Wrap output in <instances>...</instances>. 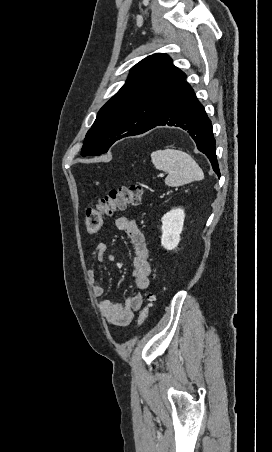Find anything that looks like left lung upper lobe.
Masks as SVG:
<instances>
[{
  "label": "left lung upper lobe",
  "instance_id": "left-lung-upper-lobe-1",
  "mask_svg": "<svg viewBox=\"0 0 272 452\" xmlns=\"http://www.w3.org/2000/svg\"><path fill=\"white\" fill-rule=\"evenodd\" d=\"M186 75L169 56L156 53L132 67L126 83L98 112L81 155H100L117 140L142 133L160 115Z\"/></svg>",
  "mask_w": 272,
  "mask_h": 452
}]
</instances>
